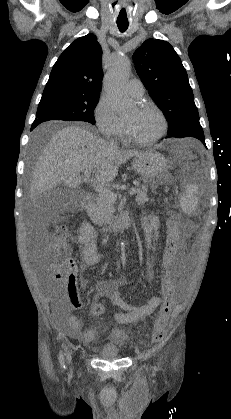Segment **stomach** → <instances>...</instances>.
Instances as JSON below:
<instances>
[{
	"instance_id": "stomach-1",
	"label": "stomach",
	"mask_w": 231,
	"mask_h": 419,
	"mask_svg": "<svg viewBox=\"0 0 231 419\" xmlns=\"http://www.w3.org/2000/svg\"><path fill=\"white\" fill-rule=\"evenodd\" d=\"M135 171L141 175L151 188H155L165 181L168 169L166 158L155 150L142 152L133 159Z\"/></svg>"
}]
</instances>
